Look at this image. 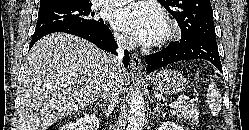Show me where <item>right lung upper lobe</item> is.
Listing matches in <instances>:
<instances>
[{
    "instance_id": "obj_1",
    "label": "right lung upper lobe",
    "mask_w": 249,
    "mask_h": 130,
    "mask_svg": "<svg viewBox=\"0 0 249 130\" xmlns=\"http://www.w3.org/2000/svg\"><path fill=\"white\" fill-rule=\"evenodd\" d=\"M75 1H78V0H40V7L61 5V4H66L70 2H75Z\"/></svg>"
}]
</instances>
